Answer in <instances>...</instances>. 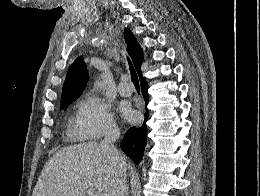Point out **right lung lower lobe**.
I'll return each mask as SVG.
<instances>
[{
    "label": "right lung lower lobe",
    "instance_id": "right-lung-lower-lobe-1",
    "mask_svg": "<svg viewBox=\"0 0 260 196\" xmlns=\"http://www.w3.org/2000/svg\"><path fill=\"white\" fill-rule=\"evenodd\" d=\"M141 90L143 97L147 103L148 101V84L144 80L141 79ZM149 117V113H145V120L141 127H131L121 142L122 151L127 154L136 164L140 163L144 155V149L146 146V138H147V126L146 121Z\"/></svg>",
    "mask_w": 260,
    "mask_h": 196
}]
</instances>
